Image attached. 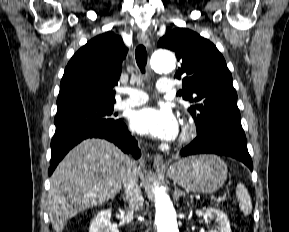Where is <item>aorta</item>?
<instances>
[{
	"label": "aorta",
	"mask_w": 289,
	"mask_h": 232,
	"mask_svg": "<svg viewBox=\"0 0 289 232\" xmlns=\"http://www.w3.org/2000/svg\"><path fill=\"white\" fill-rule=\"evenodd\" d=\"M176 67L174 55L166 50H156L151 56V68L159 73H170ZM155 197V224L157 232H179L173 204L161 187L153 188Z\"/></svg>",
	"instance_id": "obj_1"
}]
</instances>
